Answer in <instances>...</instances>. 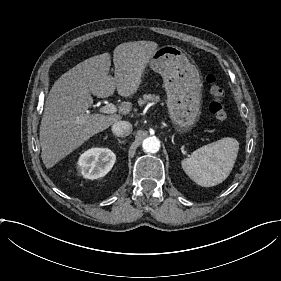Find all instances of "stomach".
Here are the masks:
<instances>
[{"mask_svg": "<svg viewBox=\"0 0 281 281\" xmlns=\"http://www.w3.org/2000/svg\"><path fill=\"white\" fill-rule=\"evenodd\" d=\"M148 66L164 80L168 95L167 105L179 128L193 125L200 114L201 74L186 54L177 46L164 45L149 56ZM148 71L144 70V80Z\"/></svg>", "mask_w": 281, "mask_h": 281, "instance_id": "0dacf381", "label": "stomach"}]
</instances>
